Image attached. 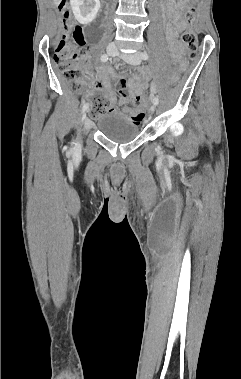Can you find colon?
<instances>
[{"mask_svg": "<svg viewBox=\"0 0 241 379\" xmlns=\"http://www.w3.org/2000/svg\"><path fill=\"white\" fill-rule=\"evenodd\" d=\"M194 2L195 0H190L183 9L184 18L189 24L193 22L195 16ZM59 9L63 14L65 24L64 34L56 47L54 59L59 70L67 80L69 87L72 90H78L80 86L79 69L85 52V38L81 27L72 22L71 10L64 1L60 3ZM182 41L187 50L188 57L194 60L198 50L196 34L192 30H188L183 33ZM177 76V72H174L170 76L172 83L178 82ZM120 93L125 94L123 85H120ZM148 94V88H145L144 92L139 93L142 103L149 101ZM112 109L113 105L108 96L100 93H93L90 96V116L92 118H97Z\"/></svg>", "mask_w": 241, "mask_h": 379, "instance_id": "1", "label": "colon"}]
</instances>
